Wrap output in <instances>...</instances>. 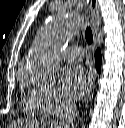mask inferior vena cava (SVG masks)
I'll return each mask as SVG.
<instances>
[{"label": "inferior vena cava", "mask_w": 125, "mask_h": 128, "mask_svg": "<svg viewBox=\"0 0 125 128\" xmlns=\"http://www.w3.org/2000/svg\"><path fill=\"white\" fill-rule=\"evenodd\" d=\"M63 109L64 113L59 121L60 126H65L66 123L75 118L77 107L72 102H66L63 106Z\"/></svg>", "instance_id": "inferior-vena-cava-1"}]
</instances>
